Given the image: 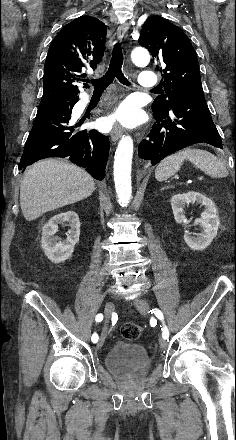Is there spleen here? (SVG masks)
Instances as JSON below:
<instances>
[{
    "label": "spleen",
    "mask_w": 236,
    "mask_h": 440,
    "mask_svg": "<svg viewBox=\"0 0 236 440\" xmlns=\"http://www.w3.org/2000/svg\"><path fill=\"white\" fill-rule=\"evenodd\" d=\"M185 160L212 177L222 178L228 175L226 167L215 155L202 149L187 148L163 159L155 170V178L165 181L174 176Z\"/></svg>",
    "instance_id": "3e777b00"
}]
</instances>
